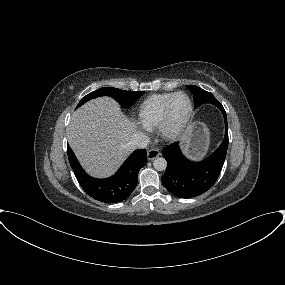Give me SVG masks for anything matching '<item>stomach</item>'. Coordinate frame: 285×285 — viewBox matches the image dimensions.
Returning a JSON list of instances; mask_svg holds the SVG:
<instances>
[{
  "mask_svg": "<svg viewBox=\"0 0 285 285\" xmlns=\"http://www.w3.org/2000/svg\"><path fill=\"white\" fill-rule=\"evenodd\" d=\"M209 146V130L202 122H194L184 137V149L190 158L201 159Z\"/></svg>",
  "mask_w": 285,
  "mask_h": 285,
  "instance_id": "stomach-1",
  "label": "stomach"
}]
</instances>
